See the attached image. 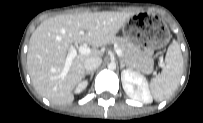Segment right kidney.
Returning <instances> with one entry per match:
<instances>
[{
    "mask_svg": "<svg viewBox=\"0 0 203 123\" xmlns=\"http://www.w3.org/2000/svg\"><path fill=\"white\" fill-rule=\"evenodd\" d=\"M88 86V82L87 81H82L81 83L78 84V86L75 89V93L79 94L81 92H83Z\"/></svg>",
    "mask_w": 203,
    "mask_h": 123,
    "instance_id": "right-kidney-1",
    "label": "right kidney"
}]
</instances>
